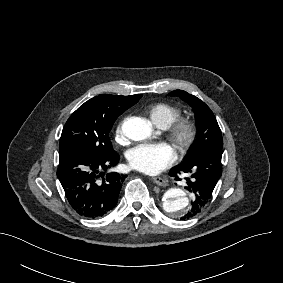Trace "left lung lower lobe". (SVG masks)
Returning <instances> with one entry per match:
<instances>
[{
	"label": "left lung lower lobe",
	"instance_id": "obj_1",
	"mask_svg": "<svg viewBox=\"0 0 283 283\" xmlns=\"http://www.w3.org/2000/svg\"><path fill=\"white\" fill-rule=\"evenodd\" d=\"M222 149H213L202 153L190 162H185L172 169L169 174L178 180L177 174L186 173L188 190L193 193L191 209L182 219H189L209 202L212 192L222 175Z\"/></svg>",
	"mask_w": 283,
	"mask_h": 283
}]
</instances>
